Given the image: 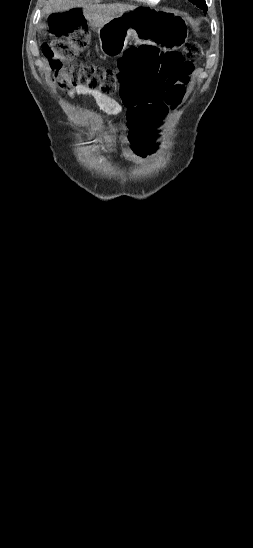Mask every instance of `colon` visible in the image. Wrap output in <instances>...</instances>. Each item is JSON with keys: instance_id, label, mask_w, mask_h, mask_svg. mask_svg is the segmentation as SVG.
<instances>
[{"instance_id": "1", "label": "colon", "mask_w": 253, "mask_h": 548, "mask_svg": "<svg viewBox=\"0 0 253 548\" xmlns=\"http://www.w3.org/2000/svg\"><path fill=\"white\" fill-rule=\"evenodd\" d=\"M52 28L57 38L43 48V54L55 71L54 83L62 90L82 85L105 95L120 93L128 106V123L138 158L159 152L155 136L148 128L169 118V107L181 102L190 73L202 58L200 43L188 42L181 52L159 54L148 45L129 49L117 68H109L77 59L88 44V26L80 10L56 13ZM156 57L163 60H152Z\"/></svg>"}]
</instances>
